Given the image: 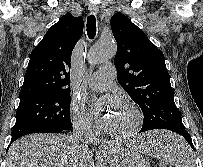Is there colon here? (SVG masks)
<instances>
[{
    "instance_id": "1",
    "label": "colon",
    "mask_w": 203,
    "mask_h": 167,
    "mask_svg": "<svg viewBox=\"0 0 203 167\" xmlns=\"http://www.w3.org/2000/svg\"><path fill=\"white\" fill-rule=\"evenodd\" d=\"M158 167H170V166H168V165H166V164H161V165H159Z\"/></svg>"
}]
</instances>
